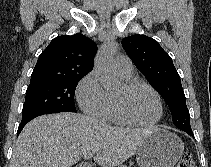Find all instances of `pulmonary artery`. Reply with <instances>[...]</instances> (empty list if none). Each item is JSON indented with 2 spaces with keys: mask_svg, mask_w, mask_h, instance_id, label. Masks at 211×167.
<instances>
[{
  "mask_svg": "<svg viewBox=\"0 0 211 167\" xmlns=\"http://www.w3.org/2000/svg\"><path fill=\"white\" fill-rule=\"evenodd\" d=\"M114 68L121 75H131L133 72V64L131 60L124 55L117 56L114 60Z\"/></svg>",
  "mask_w": 211,
  "mask_h": 167,
  "instance_id": "obj_1",
  "label": "pulmonary artery"
}]
</instances>
